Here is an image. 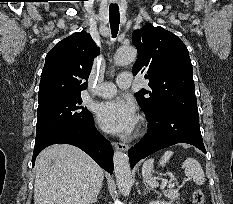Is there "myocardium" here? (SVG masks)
Returning <instances> with one entry per match:
<instances>
[{
  "instance_id": "myocardium-1",
  "label": "myocardium",
  "mask_w": 233,
  "mask_h": 204,
  "mask_svg": "<svg viewBox=\"0 0 233 204\" xmlns=\"http://www.w3.org/2000/svg\"><path fill=\"white\" fill-rule=\"evenodd\" d=\"M141 130H142V124H140L138 127V131H141Z\"/></svg>"
}]
</instances>
